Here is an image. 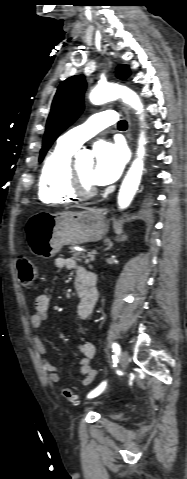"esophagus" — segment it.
Instances as JSON below:
<instances>
[{
  "instance_id": "esophagus-1",
  "label": "esophagus",
  "mask_w": 187,
  "mask_h": 479,
  "mask_svg": "<svg viewBox=\"0 0 187 479\" xmlns=\"http://www.w3.org/2000/svg\"><path fill=\"white\" fill-rule=\"evenodd\" d=\"M123 109H124V112L126 114V117H127V120H128V124H129V127H128V134H127V137L129 139V141L131 142L132 138H131V119H130V112H129V109L127 106H123Z\"/></svg>"
}]
</instances>
